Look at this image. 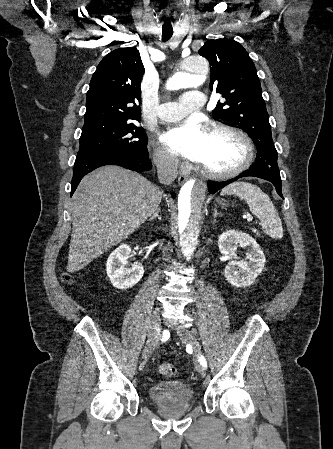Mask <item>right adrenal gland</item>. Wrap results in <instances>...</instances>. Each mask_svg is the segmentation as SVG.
I'll return each mask as SVG.
<instances>
[{"label":"right adrenal gland","mask_w":333,"mask_h":449,"mask_svg":"<svg viewBox=\"0 0 333 449\" xmlns=\"http://www.w3.org/2000/svg\"><path fill=\"white\" fill-rule=\"evenodd\" d=\"M159 212H160V208H158V209L155 211V213L152 215L151 218L148 219V221H152V220H154L155 218H158V220H161V217L159 216Z\"/></svg>","instance_id":"obj_1"}]
</instances>
